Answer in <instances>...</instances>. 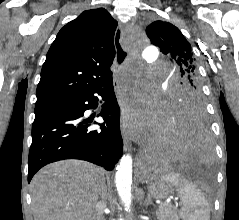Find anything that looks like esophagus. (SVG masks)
Masks as SVG:
<instances>
[{
    "instance_id": "34e87169",
    "label": "esophagus",
    "mask_w": 239,
    "mask_h": 220,
    "mask_svg": "<svg viewBox=\"0 0 239 220\" xmlns=\"http://www.w3.org/2000/svg\"><path fill=\"white\" fill-rule=\"evenodd\" d=\"M123 25L119 24L118 29L116 30L117 36H114V46L116 49V61H114V67L112 70V91L113 92H120L121 91V76L122 71L120 69L124 66V61L128 57V53L121 47L123 44L122 41V34H123ZM116 102H119L118 107L123 108L124 106V100H123V93H116ZM124 113L123 111L121 112ZM123 117L120 119L121 122V132L123 136L124 146L126 150L130 149V140L127 135L126 129H125V123L127 122V119Z\"/></svg>"
}]
</instances>
